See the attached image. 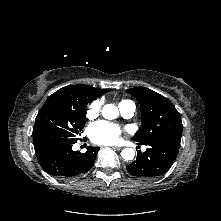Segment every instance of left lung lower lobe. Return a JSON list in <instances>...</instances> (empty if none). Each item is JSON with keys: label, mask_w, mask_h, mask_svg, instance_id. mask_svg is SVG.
<instances>
[{"label": "left lung lower lobe", "mask_w": 221, "mask_h": 221, "mask_svg": "<svg viewBox=\"0 0 221 221\" xmlns=\"http://www.w3.org/2000/svg\"><path fill=\"white\" fill-rule=\"evenodd\" d=\"M142 144L148 148L145 152L137 151L136 160L126 168L134 176L152 178L165 174L171 168L180 148V139L159 137Z\"/></svg>", "instance_id": "1"}]
</instances>
